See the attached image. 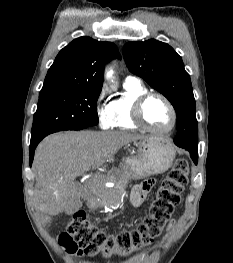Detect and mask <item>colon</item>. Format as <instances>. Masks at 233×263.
I'll return each instance as SVG.
<instances>
[{
	"mask_svg": "<svg viewBox=\"0 0 233 263\" xmlns=\"http://www.w3.org/2000/svg\"><path fill=\"white\" fill-rule=\"evenodd\" d=\"M188 176L187 160L178 158L157 190L148 215L135 229L108 234L96 228L79 211L72 216L65 231L60 234V244L69 253L88 256L128 257L141 251L160 235L162 226L180 202V194L188 183Z\"/></svg>",
	"mask_w": 233,
	"mask_h": 263,
	"instance_id": "1",
	"label": "colon"
}]
</instances>
